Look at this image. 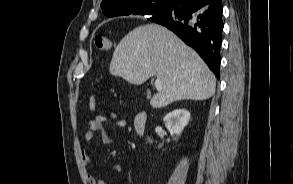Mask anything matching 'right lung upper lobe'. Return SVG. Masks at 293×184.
<instances>
[{
	"instance_id": "cb5924a9",
	"label": "right lung upper lobe",
	"mask_w": 293,
	"mask_h": 184,
	"mask_svg": "<svg viewBox=\"0 0 293 184\" xmlns=\"http://www.w3.org/2000/svg\"><path fill=\"white\" fill-rule=\"evenodd\" d=\"M203 5L209 6L218 0H201ZM172 0H103L101 8L107 17L123 15H142L141 12L161 5L160 13L171 4ZM151 19V15H149Z\"/></svg>"
}]
</instances>
